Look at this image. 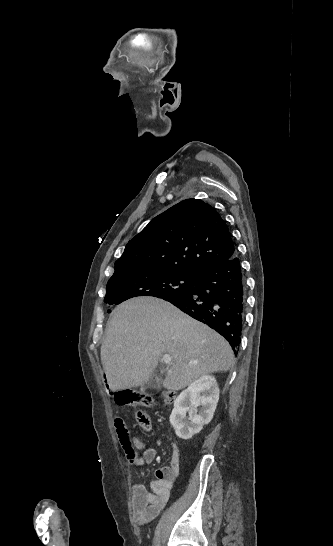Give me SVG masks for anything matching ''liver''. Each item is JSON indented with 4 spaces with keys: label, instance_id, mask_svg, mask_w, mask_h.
I'll return each instance as SVG.
<instances>
[{
    "label": "liver",
    "instance_id": "1",
    "mask_svg": "<svg viewBox=\"0 0 333 546\" xmlns=\"http://www.w3.org/2000/svg\"><path fill=\"white\" fill-rule=\"evenodd\" d=\"M164 354L172 361L163 386L172 390L185 388L205 374L226 372L234 363L233 351L222 336L166 301L139 297L114 309L101 346L111 391L142 386Z\"/></svg>",
    "mask_w": 333,
    "mask_h": 546
}]
</instances>
